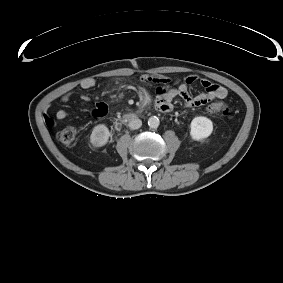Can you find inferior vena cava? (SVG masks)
Masks as SVG:
<instances>
[{
  "mask_svg": "<svg viewBox=\"0 0 283 283\" xmlns=\"http://www.w3.org/2000/svg\"><path fill=\"white\" fill-rule=\"evenodd\" d=\"M142 125V121L139 118H133L129 121V128L132 130L140 128Z\"/></svg>",
  "mask_w": 283,
  "mask_h": 283,
  "instance_id": "602c4592",
  "label": "inferior vena cava"
}]
</instances>
